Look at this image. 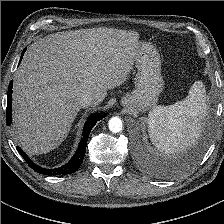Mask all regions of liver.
<instances>
[{
    "label": "liver",
    "mask_w": 224,
    "mask_h": 224,
    "mask_svg": "<svg viewBox=\"0 0 224 224\" xmlns=\"http://www.w3.org/2000/svg\"><path fill=\"white\" fill-rule=\"evenodd\" d=\"M138 32L92 28L57 32L32 44L14 75V138L30 155L57 148L80 111L122 85L139 49Z\"/></svg>",
    "instance_id": "liver-1"
}]
</instances>
